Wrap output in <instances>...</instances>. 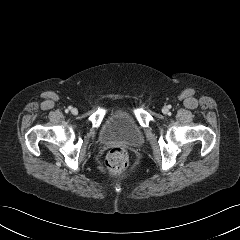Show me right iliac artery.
I'll return each mask as SVG.
<instances>
[{"mask_svg": "<svg viewBox=\"0 0 240 240\" xmlns=\"http://www.w3.org/2000/svg\"><path fill=\"white\" fill-rule=\"evenodd\" d=\"M71 108H72V107H71V106H69V107H68V109L66 110V112H67L68 110H70Z\"/></svg>", "mask_w": 240, "mask_h": 240, "instance_id": "1", "label": "right iliac artery"}]
</instances>
